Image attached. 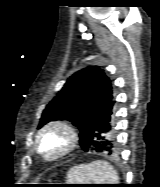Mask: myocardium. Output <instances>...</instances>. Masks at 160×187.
Listing matches in <instances>:
<instances>
[{
    "instance_id": "obj_1",
    "label": "myocardium",
    "mask_w": 160,
    "mask_h": 187,
    "mask_svg": "<svg viewBox=\"0 0 160 187\" xmlns=\"http://www.w3.org/2000/svg\"><path fill=\"white\" fill-rule=\"evenodd\" d=\"M51 135H58L62 138L63 144L54 152L49 153L45 149L47 139ZM78 143V133L69 123L61 120L50 121L43 125L37 132L34 150L45 161H55L72 152Z\"/></svg>"
}]
</instances>
